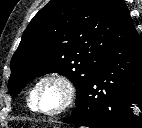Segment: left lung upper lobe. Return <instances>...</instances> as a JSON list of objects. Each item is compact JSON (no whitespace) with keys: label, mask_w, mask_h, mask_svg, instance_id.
I'll use <instances>...</instances> for the list:
<instances>
[{"label":"left lung upper lobe","mask_w":142,"mask_h":128,"mask_svg":"<svg viewBox=\"0 0 142 128\" xmlns=\"http://www.w3.org/2000/svg\"><path fill=\"white\" fill-rule=\"evenodd\" d=\"M134 34L123 0H51L33 17L12 57L9 92L60 73L74 83L77 106L106 54Z\"/></svg>","instance_id":"obj_1"}]
</instances>
